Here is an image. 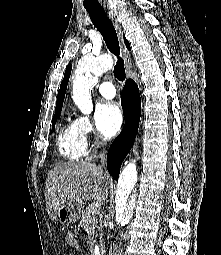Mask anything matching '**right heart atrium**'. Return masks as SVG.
I'll use <instances>...</instances> for the list:
<instances>
[{
	"instance_id": "right-heart-atrium-1",
	"label": "right heart atrium",
	"mask_w": 221,
	"mask_h": 255,
	"mask_svg": "<svg viewBox=\"0 0 221 255\" xmlns=\"http://www.w3.org/2000/svg\"><path fill=\"white\" fill-rule=\"evenodd\" d=\"M79 130L85 140H91L94 137V127L89 117L80 116L77 118Z\"/></svg>"
}]
</instances>
